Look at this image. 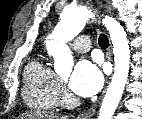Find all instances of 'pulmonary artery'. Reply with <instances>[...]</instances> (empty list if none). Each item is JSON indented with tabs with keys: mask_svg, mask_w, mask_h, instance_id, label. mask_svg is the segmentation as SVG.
I'll use <instances>...</instances> for the list:
<instances>
[{
	"mask_svg": "<svg viewBox=\"0 0 142 119\" xmlns=\"http://www.w3.org/2000/svg\"><path fill=\"white\" fill-rule=\"evenodd\" d=\"M92 47L91 40L87 36H81L72 43V48L79 53H84Z\"/></svg>",
	"mask_w": 142,
	"mask_h": 119,
	"instance_id": "obj_1",
	"label": "pulmonary artery"
}]
</instances>
